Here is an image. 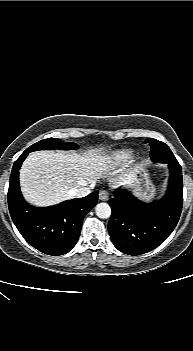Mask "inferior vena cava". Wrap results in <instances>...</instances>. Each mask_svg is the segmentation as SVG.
<instances>
[{
  "label": "inferior vena cava",
  "mask_w": 193,
  "mask_h": 351,
  "mask_svg": "<svg viewBox=\"0 0 193 351\" xmlns=\"http://www.w3.org/2000/svg\"><path fill=\"white\" fill-rule=\"evenodd\" d=\"M91 187H94V186H91ZM91 193V188L89 187H81V188H78V189H72L70 190V194L74 197H85L87 195H89Z\"/></svg>",
  "instance_id": "obj_1"
}]
</instances>
